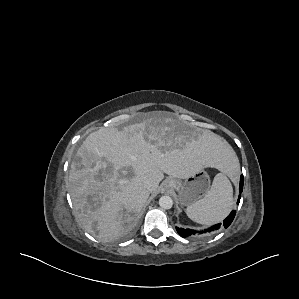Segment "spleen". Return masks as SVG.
Returning <instances> with one entry per match:
<instances>
[{
    "label": "spleen",
    "instance_id": "1",
    "mask_svg": "<svg viewBox=\"0 0 299 299\" xmlns=\"http://www.w3.org/2000/svg\"><path fill=\"white\" fill-rule=\"evenodd\" d=\"M233 206V188L224 173L215 176L205 196L186 209L187 216L199 224L212 225L221 222Z\"/></svg>",
    "mask_w": 299,
    "mask_h": 299
}]
</instances>
